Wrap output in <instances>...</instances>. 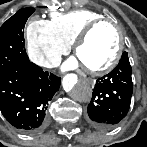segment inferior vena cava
<instances>
[{"label": "inferior vena cava", "mask_w": 147, "mask_h": 147, "mask_svg": "<svg viewBox=\"0 0 147 147\" xmlns=\"http://www.w3.org/2000/svg\"><path fill=\"white\" fill-rule=\"evenodd\" d=\"M59 64H60V61H56V62H53V63L44 64V66L48 67V68H52V67H57Z\"/></svg>", "instance_id": "602c4592"}]
</instances>
